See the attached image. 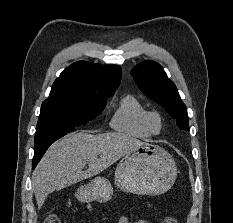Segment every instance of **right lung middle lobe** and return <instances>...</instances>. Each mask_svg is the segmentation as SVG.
Returning a JSON list of instances; mask_svg holds the SVG:
<instances>
[{"mask_svg":"<svg viewBox=\"0 0 233 223\" xmlns=\"http://www.w3.org/2000/svg\"><path fill=\"white\" fill-rule=\"evenodd\" d=\"M105 101L68 97L48 98L42 103L35 134V155L45 152L60 137L98 116Z\"/></svg>","mask_w":233,"mask_h":223,"instance_id":"obj_1","label":"right lung middle lobe"}]
</instances>
